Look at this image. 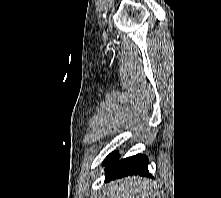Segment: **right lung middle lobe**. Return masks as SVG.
I'll list each match as a JSON object with an SVG mask.
<instances>
[{"label": "right lung middle lobe", "mask_w": 221, "mask_h": 198, "mask_svg": "<svg viewBox=\"0 0 221 198\" xmlns=\"http://www.w3.org/2000/svg\"><path fill=\"white\" fill-rule=\"evenodd\" d=\"M118 155L117 152H114L112 154H110L104 161V165L107 164L109 161H111L113 158H115Z\"/></svg>", "instance_id": "1"}]
</instances>
